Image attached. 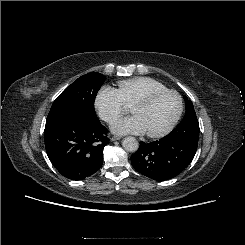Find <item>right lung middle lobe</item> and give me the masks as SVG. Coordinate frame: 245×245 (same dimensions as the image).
<instances>
[{
	"mask_svg": "<svg viewBox=\"0 0 245 245\" xmlns=\"http://www.w3.org/2000/svg\"><path fill=\"white\" fill-rule=\"evenodd\" d=\"M104 81V75L97 72L81 76L56 98L47 119L74 116L90 122H99L94 101Z\"/></svg>",
	"mask_w": 245,
	"mask_h": 245,
	"instance_id": "obj_1",
	"label": "right lung middle lobe"
}]
</instances>
